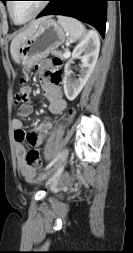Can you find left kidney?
<instances>
[{
	"label": "left kidney",
	"instance_id": "1",
	"mask_svg": "<svg viewBox=\"0 0 133 253\" xmlns=\"http://www.w3.org/2000/svg\"><path fill=\"white\" fill-rule=\"evenodd\" d=\"M99 50L100 39L94 31H90L74 48L72 58L65 65V76L63 79L64 92L68 100H74L87 83L96 65ZM74 59H80L81 69L78 75L79 78L72 80L70 78L72 74L71 64Z\"/></svg>",
	"mask_w": 133,
	"mask_h": 253
}]
</instances>
